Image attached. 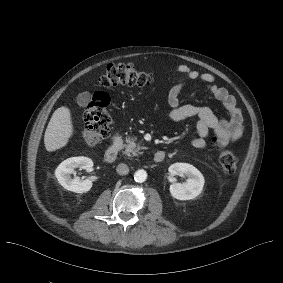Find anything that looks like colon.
Instances as JSON below:
<instances>
[{"mask_svg":"<svg viewBox=\"0 0 283 283\" xmlns=\"http://www.w3.org/2000/svg\"><path fill=\"white\" fill-rule=\"evenodd\" d=\"M98 83L102 88L118 85L145 87L153 83V78L131 64H110ZM109 102L106 93L97 92L85 107L83 137L89 147L97 146L110 132L111 117L107 110ZM213 143L220 147L219 139L213 138ZM219 164L225 174L232 175L237 170L238 158L233 152L220 148Z\"/></svg>","mask_w":283,"mask_h":283,"instance_id":"colon-1","label":"colon"}]
</instances>
